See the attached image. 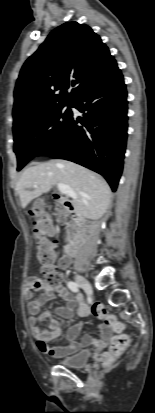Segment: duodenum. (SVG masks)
<instances>
[{
  "instance_id": "410a0bca",
  "label": "duodenum",
  "mask_w": 155,
  "mask_h": 413,
  "mask_svg": "<svg viewBox=\"0 0 155 413\" xmlns=\"http://www.w3.org/2000/svg\"><path fill=\"white\" fill-rule=\"evenodd\" d=\"M53 196L56 201L60 202L65 208L70 211L72 218L82 226L83 221L76 211L73 202L67 198H62L59 193H54ZM64 251L67 256H73L77 251V246L75 243H69L65 246Z\"/></svg>"
}]
</instances>
